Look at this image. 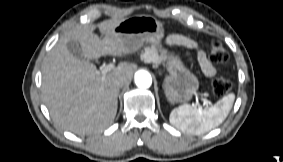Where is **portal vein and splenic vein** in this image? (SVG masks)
I'll list each match as a JSON object with an SVG mask.
<instances>
[{
    "label": "portal vein and splenic vein",
    "instance_id": "18ae733b",
    "mask_svg": "<svg viewBox=\"0 0 283 162\" xmlns=\"http://www.w3.org/2000/svg\"><path fill=\"white\" fill-rule=\"evenodd\" d=\"M112 69H114V64L109 63V64L105 65V66L102 68V70H101L100 72H101V74H102L103 76H105V74H106L107 72H110ZM202 101H203L204 104H206V105L210 104V101L207 100V99H205V98H203ZM196 105H198L199 108H201V106H200V104L198 103V101L196 102Z\"/></svg>",
    "mask_w": 283,
    "mask_h": 162
}]
</instances>
